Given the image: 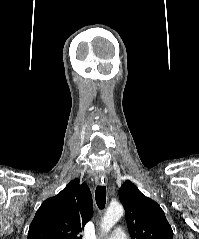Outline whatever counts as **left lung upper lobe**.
Returning <instances> with one entry per match:
<instances>
[{
    "instance_id": "obj_1",
    "label": "left lung upper lobe",
    "mask_w": 199,
    "mask_h": 239,
    "mask_svg": "<svg viewBox=\"0 0 199 239\" xmlns=\"http://www.w3.org/2000/svg\"><path fill=\"white\" fill-rule=\"evenodd\" d=\"M131 239H173V231L162 208L127 180L119 189Z\"/></svg>"
}]
</instances>
